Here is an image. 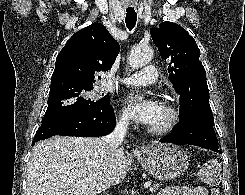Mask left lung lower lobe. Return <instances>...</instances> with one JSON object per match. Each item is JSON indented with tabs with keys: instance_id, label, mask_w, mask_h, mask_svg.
<instances>
[{
	"instance_id": "0a47b994",
	"label": "left lung lower lobe",
	"mask_w": 245,
	"mask_h": 195,
	"mask_svg": "<svg viewBox=\"0 0 245 195\" xmlns=\"http://www.w3.org/2000/svg\"><path fill=\"white\" fill-rule=\"evenodd\" d=\"M213 123L200 118L181 120L174 131L160 139V142L174 144H191L213 150L221 154L218 149V140L213 128Z\"/></svg>"
}]
</instances>
